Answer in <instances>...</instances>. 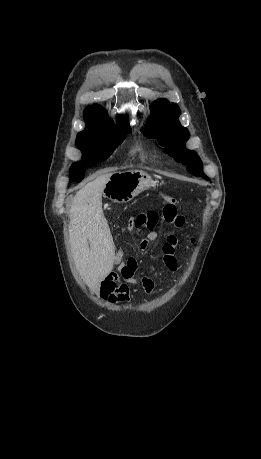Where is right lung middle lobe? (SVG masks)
Masks as SVG:
<instances>
[{"label":"right lung middle lobe","mask_w":261,"mask_h":459,"mask_svg":"<svg viewBox=\"0 0 261 459\" xmlns=\"http://www.w3.org/2000/svg\"><path fill=\"white\" fill-rule=\"evenodd\" d=\"M131 128L125 124L103 131L88 132L77 135L76 146L83 152L84 162H77L70 169V178L80 182L88 166L107 159L114 149L122 143Z\"/></svg>","instance_id":"1"}]
</instances>
